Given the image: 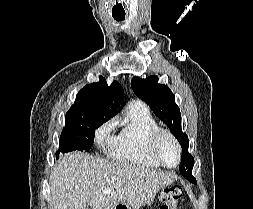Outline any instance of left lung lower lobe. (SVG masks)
<instances>
[{
    "mask_svg": "<svg viewBox=\"0 0 253 209\" xmlns=\"http://www.w3.org/2000/svg\"><path fill=\"white\" fill-rule=\"evenodd\" d=\"M190 182H192V183H196V179L193 177V178H191V180H190Z\"/></svg>",
    "mask_w": 253,
    "mask_h": 209,
    "instance_id": "0a47b994",
    "label": "left lung lower lobe"
}]
</instances>
